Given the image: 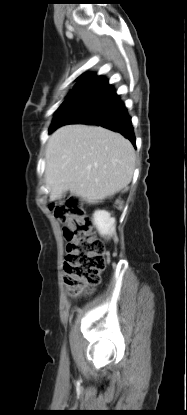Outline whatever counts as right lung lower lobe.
Segmentation results:
<instances>
[{
    "label": "right lung lower lobe",
    "instance_id": "right-lung-lower-lobe-1",
    "mask_svg": "<svg viewBox=\"0 0 187 415\" xmlns=\"http://www.w3.org/2000/svg\"><path fill=\"white\" fill-rule=\"evenodd\" d=\"M94 124L118 132L135 146L131 118L124 102L103 76L95 73L76 85L55 114L50 132L67 124Z\"/></svg>",
    "mask_w": 187,
    "mask_h": 415
}]
</instances>
